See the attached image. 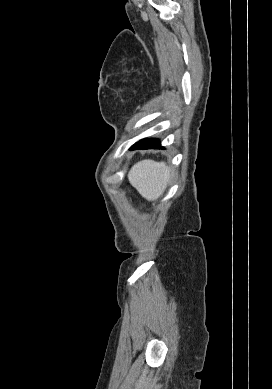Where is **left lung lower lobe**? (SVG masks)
<instances>
[{
    "label": "left lung lower lobe",
    "instance_id": "1",
    "mask_svg": "<svg viewBox=\"0 0 272 389\" xmlns=\"http://www.w3.org/2000/svg\"><path fill=\"white\" fill-rule=\"evenodd\" d=\"M156 148H162L160 145V142L158 139H144L140 140L139 142L135 143L130 150H135V149H156Z\"/></svg>",
    "mask_w": 272,
    "mask_h": 389
}]
</instances>
